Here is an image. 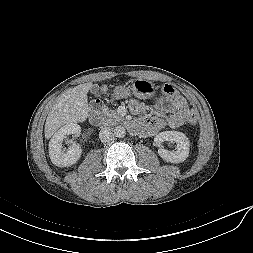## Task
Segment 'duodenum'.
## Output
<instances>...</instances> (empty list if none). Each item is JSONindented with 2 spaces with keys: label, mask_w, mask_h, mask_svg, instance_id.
Returning a JSON list of instances; mask_svg holds the SVG:
<instances>
[{
  "label": "duodenum",
  "mask_w": 253,
  "mask_h": 253,
  "mask_svg": "<svg viewBox=\"0 0 253 253\" xmlns=\"http://www.w3.org/2000/svg\"><path fill=\"white\" fill-rule=\"evenodd\" d=\"M102 110H103V105L99 102H93L91 103L89 107V120L91 124L97 126L100 125L102 121ZM129 128L132 131H135L137 128L133 124H129Z\"/></svg>",
  "instance_id": "410a0bca"
}]
</instances>
